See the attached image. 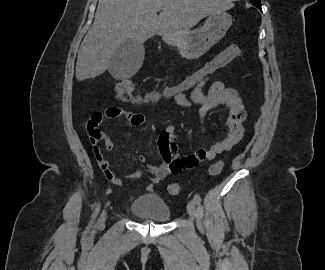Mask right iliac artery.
<instances>
[{"instance_id":"obj_1","label":"right iliac artery","mask_w":325,"mask_h":270,"mask_svg":"<svg viewBox=\"0 0 325 270\" xmlns=\"http://www.w3.org/2000/svg\"><path fill=\"white\" fill-rule=\"evenodd\" d=\"M99 209H100V205H98L92 215V220H94L96 218V216L98 215L99 213Z\"/></svg>"}]
</instances>
